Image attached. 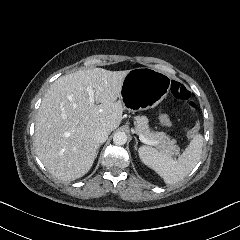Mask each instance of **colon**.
<instances>
[{"label": "colon", "mask_w": 240, "mask_h": 240, "mask_svg": "<svg viewBox=\"0 0 240 240\" xmlns=\"http://www.w3.org/2000/svg\"><path fill=\"white\" fill-rule=\"evenodd\" d=\"M173 91L175 92L176 96L182 100H188L190 97V92L185 86H174ZM158 120L162 121V124H165L168 127H173V120H171L170 115H168L167 113H158ZM197 134L198 125H193V128L190 129V132L186 133V140L190 141L191 138H194Z\"/></svg>", "instance_id": "1"}]
</instances>
